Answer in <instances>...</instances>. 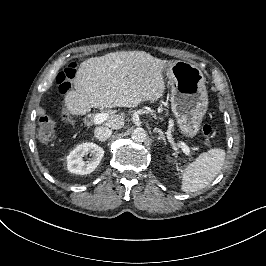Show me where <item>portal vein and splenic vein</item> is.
<instances>
[{
  "mask_svg": "<svg viewBox=\"0 0 266 266\" xmlns=\"http://www.w3.org/2000/svg\"><path fill=\"white\" fill-rule=\"evenodd\" d=\"M109 114L108 113H98L95 115L94 117V123L95 124H101L104 121H106L109 118ZM182 151L183 153H185L186 155L190 154V148L187 145H182Z\"/></svg>",
  "mask_w": 266,
  "mask_h": 266,
  "instance_id": "18ae733b",
  "label": "portal vein and splenic vein"
}]
</instances>
